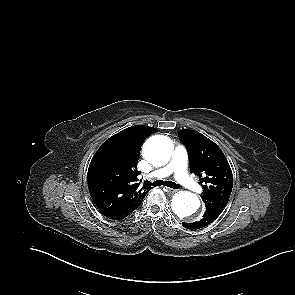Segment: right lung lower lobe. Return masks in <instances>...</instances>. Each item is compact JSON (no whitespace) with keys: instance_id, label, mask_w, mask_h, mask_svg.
Wrapping results in <instances>:
<instances>
[{"instance_id":"right-lung-lower-lobe-1","label":"right lung lower lobe","mask_w":295,"mask_h":295,"mask_svg":"<svg viewBox=\"0 0 295 295\" xmlns=\"http://www.w3.org/2000/svg\"><path fill=\"white\" fill-rule=\"evenodd\" d=\"M139 206V205H138ZM138 206L133 207L131 209L125 210V211H120V212H106V211H101L102 214L110 219L113 220H120L125 217H127L130 213H132Z\"/></svg>"}]
</instances>
